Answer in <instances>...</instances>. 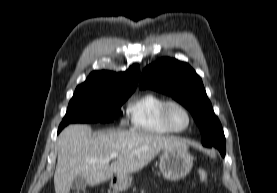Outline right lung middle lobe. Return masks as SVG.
<instances>
[{
    "label": "right lung middle lobe",
    "instance_id": "right-lung-middle-lobe-1",
    "mask_svg": "<svg viewBox=\"0 0 277 193\" xmlns=\"http://www.w3.org/2000/svg\"><path fill=\"white\" fill-rule=\"evenodd\" d=\"M132 92H97L76 89L61 126L70 123L111 122Z\"/></svg>",
    "mask_w": 277,
    "mask_h": 193
}]
</instances>
